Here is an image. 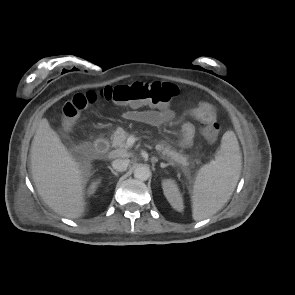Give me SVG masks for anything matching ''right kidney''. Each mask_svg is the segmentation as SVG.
I'll return each mask as SVG.
<instances>
[{
	"mask_svg": "<svg viewBox=\"0 0 295 295\" xmlns=\"http://www.w3.org/2000/svg\"><path fill=\"white\" fill-rule=\"evenodd\" d=\"M99 184H100V180H96L92 182V184L89 187V194H93L96 191Z\"/></svg>",
	"mask_w": 295,
	"mask_h": 295,
	"instance_id": "1",
	"label": "right kidney"
}]
</instances>
